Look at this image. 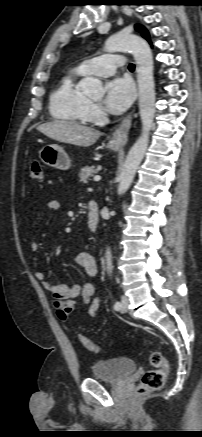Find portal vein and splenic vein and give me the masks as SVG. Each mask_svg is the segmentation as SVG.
I'll return each mask as SVG.
<instances>
[{
  "label": "portal vein and splenic vein",
  "mask_w": 202,
  "mask_h": 437,
  "mask_svg": "<svg viewBox=\"0 0 202 437\" xmlns=\"http://www.w3.org/2000/svg\"><path fill=\"white\" fill-rule=\"evenodd\" d=\"M99 180H101V177H100L99 175H96V176L94 177V181H99Z\"/></svg>",
  "instance_id": "portal-vein-and-splenic-vein-1"
}]
</instances>
